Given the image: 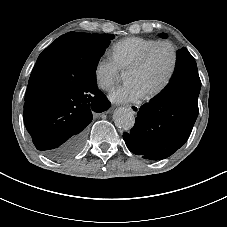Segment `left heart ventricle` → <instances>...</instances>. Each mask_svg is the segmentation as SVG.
Here are the masks:
<instances>
[{
  "mask_svg": "<svg viewBox=\"0 0 227 227\" xmlns=\"http://www.w3.org/2000/svg\"><path fill=\"white\" fill-rule=\"evenodd\" d=\"M170 64L171 51L166 46H159L141 71L127 74L126 82L135 84L148 95L163 82Z\"/></svg>",
  "mask_w": 227,
  "mask_h": 227,
  "instance_id": "1",
  "label": "left heart ventricle"
}]
</instances>
